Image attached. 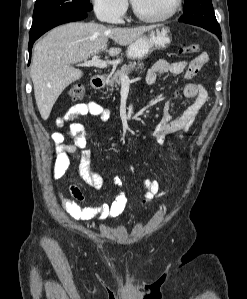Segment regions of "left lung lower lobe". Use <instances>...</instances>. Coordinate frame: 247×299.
Returning a JSON list of instances; mask_svg holds the SVG:
<instances>
[{
	"instance_id": "obj_1",
	"label": "left lung lower lobe",
	"mask_w": 247,
	"mask_h": 299,
	"mask_svg": "<svg viewBox=\"0 0 247 299\" xmlns=\"http://www.w3.org/2000/svg\"><path fill=\"white\" fill-rule=\"evenodd\" d=\"M183 23H187V24H191V25H195V26H199V27H202L204 29H207L208 31L216 34L218 36V38L221 40V30L218 29V28L211 27L209 25H206L203 22H198V21H185Z\"/></svg>"
}]
</instances>
